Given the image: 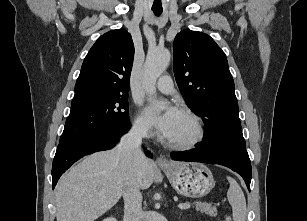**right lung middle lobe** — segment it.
<instances>
[{
    "instance_id": "dd1d6c3e",
    "label": "right lung middle lobe",
    "mask_w": 307,
    "mask_h": 221,
    "mask_svg": "<svg viewBox=\"0 0 307 221\" xmlns=\"http://www.w3.org/2000/svg\"><path fill=\"white\" fill-rule=\"evenodd\" d=\"M128 94H114L71 103L60 142L129 122Z\"/></svg>"
}]
</instances>
